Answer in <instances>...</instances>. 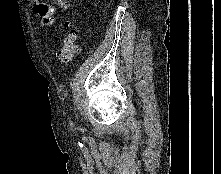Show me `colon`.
Segmentation results:
<instances>
[{
	"label": "colon",
	"instance_id": "5ec220e1",
	"mask_svg": "<svg viewBox=\"0 0 221 174\" xmlns=\"http://www.w3.org/2000/svg\"><path fill=\"white\" fill-rule=\"evenodd\" d=\"M78 30L73 25H68L66 33L61 40L60 46L55 52V57L60 62H70L75 54L79 51V46L76 43Z\"/></svg>",
	"mask_w": 221,
	"mask_h": 174
}]
</instances>
